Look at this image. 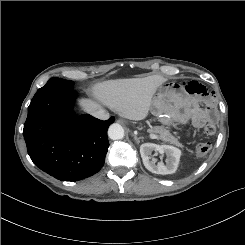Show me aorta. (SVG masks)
I'll list each match as a JSON object with an SVG mask.
<instances>
[{
	"instance_id": "762f6f07",
	"label": "aorta",
	"mask_w": 245,
	"mask_h": 245,
	"mask_svg": "<svg viewBox=\"0 0 245 245\" xmlns=\"http://www.w3.org/2000/svg\"><path fill=\"white\" fill-rule=\"evenodd\" d=\"M108 136L112 140L122 139L124 137L123 127L118 123L111 124L108 129Z\"/></svg>"
}]
</instances>
